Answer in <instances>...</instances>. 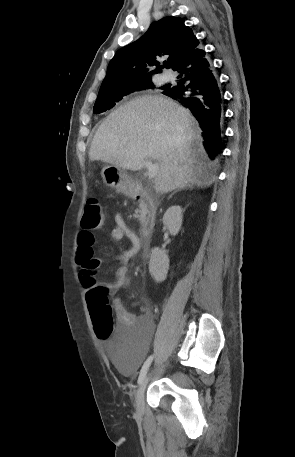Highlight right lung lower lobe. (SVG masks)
<instances>
[{
	"label": "right lung lower lobe",
	"instance_id": "1",
	"mask_svg": "<svg viewBox=\"0 0 295 457\" xmlns=\"http://www.w3.org/2000/svg\"><path fill=\"white\" fill-rule=\"evenodd\" d=\"M205 54L196 48L179 60L173 70L180 73L181 82L178 86L166 87L163 94L191 110L203 130L205 148L210 158L215 159L222 152V99Z\"/></svg>",
	"mask_w": 295,
	"mask_h": 457
}]
</instances>
